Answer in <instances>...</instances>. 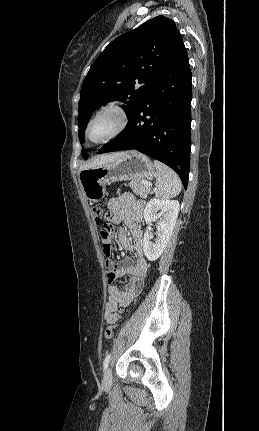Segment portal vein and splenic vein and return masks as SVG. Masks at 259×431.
I'll list each match as a JSON object with an SVG mask.
<instances>
[{"instance_id": "portal-vein-and-splenic-vein-1", "label": "portal vein and splenic vein", "mask_w": 259, "mask_h": 431, "mask_svg": "<svg viewBox=\"0 0 259 431\" xmlns=\"http://www.w3.org/2000/svg\"><path fill=\"white\" fill-rule=\"evenodd\" d=\"M144 184H148V182L147 181H142Z\"/></svg>"}]
</instances>
